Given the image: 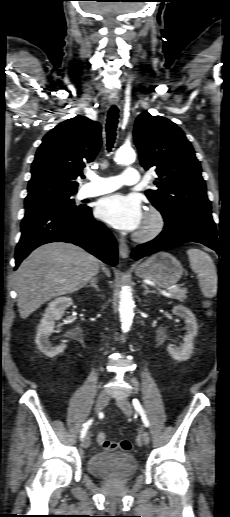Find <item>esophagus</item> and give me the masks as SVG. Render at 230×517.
Wrapping results in <instances>:
<instances>
[{"instance_id":"1","label":"esophagus","mask_w":230,"mask_h":517,"mask_svg":"<svg viewBox=\"0 0 230 517\" xmlns=\"http://www.w3.org/2000/svg\"><path fill=\"white\" fill-rule=\"evenodd\" d=\"M109 102L111 105H118L119 97L116 95L111 96L109 98ZM119 254H120V257L123 259L127 258L129 255V247L123 239H119Z\"/></svg>"}]
</instances>
